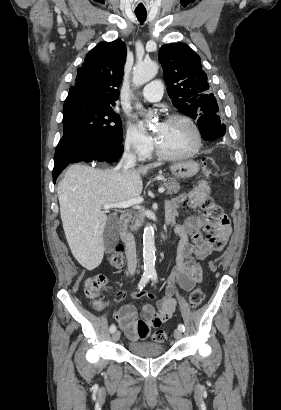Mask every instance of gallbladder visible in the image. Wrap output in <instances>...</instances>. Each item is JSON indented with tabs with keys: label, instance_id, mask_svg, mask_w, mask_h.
Returning a JSON list of instances; mask_svg holds the SVG:
<instances>
[{
	"label": "gallbladder",
	"instance_id": "bac80fb5",
	"mask_svg": "<svg viewBox=\"0 0 281 410\" xmlns=\"http://www.w3.org/2000/svg\"><path fill=\"white\" fill-rule=\"evenodd\" d=\"M118 220L114 216H109L104 232L103 241L106 253H110L118 242Z\"/></svg>",
	"mask_w": 281,
	"mask_h": 410
}]
</instances>
